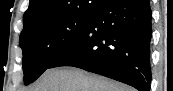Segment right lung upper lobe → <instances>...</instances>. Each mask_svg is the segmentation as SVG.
<instances>
[{"label": "right lung upper lobe", "instance_id": "right-lung-upper-lobe-1", "mask_svg": "<svg viewBox=\"0 0 173 91\" xmlns=\"http://www.w3.org/2000/svg\"><path fill=\"white\" fill-rule=\"evenodd\" d=\"M102 0H30L24 14V28L43 20L96 10Z\"/></svg>", "mask_w": 173, "mask_h": 91}]
</instances>
